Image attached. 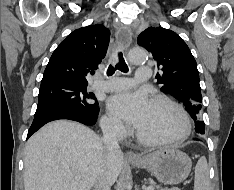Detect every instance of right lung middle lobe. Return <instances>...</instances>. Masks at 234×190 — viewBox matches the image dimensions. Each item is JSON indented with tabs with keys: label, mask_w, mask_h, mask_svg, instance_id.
<instances>
[{
	"label": "right lung middle lobe",
	"mask_w": 234,
	"mask_h": 190,
	"mask_svg": "<svg viewBox=\"0 0 234 190\" xmlns=\"http://www.w3.org/2000/svg\"><path fill=\"white\" fill-rule=\"evenodd\" d=\"M86 86L62 81L41 83L39 102L34 116L53 107H66L88 114L96 113L98 102L93 93L86 92Z\"/></svg>",
	"instance_id": "dd1d6c3e"
}]
</instances>
